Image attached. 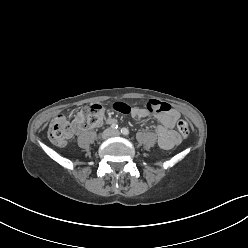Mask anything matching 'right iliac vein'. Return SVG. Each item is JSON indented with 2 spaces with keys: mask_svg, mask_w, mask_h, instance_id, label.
Returning a JSON list of instances; mask_svg holds the SVG:
<instances>
[{
  "mask_svg": "<svg viewBox=\"0 0 248 248\" xmlns=\"http://www.w3.org/2000/svg\"><path fill=\"white\" fill-rule=\"evenodd\" d=\"M112 135V131L110 129H106L103 131L101 138L103 140L108 139Z\"/></svg>",
  "mask_w": 248,
  "mask_h": 248,
  "instance_id": "right-iliac-vein-1",
  "label": "right iliac vein"
}]
</instances>
